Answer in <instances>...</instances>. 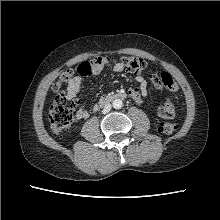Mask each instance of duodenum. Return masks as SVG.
Listing matches in <instances>:
<instances>
[{
  "instance_id": "410a0bca",
  "label": "duodenum",
  "mask_w": 220,
  "mask_h": 220,
  "mask_svg": "<svg viewBox=\"0 0 220 220\" xmlns=\"http://www.w3.org/2000/svg\"><path fill=\"white\" fill-rule=\"evenodd\" d=\"M125 98H126V94L124 92H117L114 94L105 95L100 99L99 104H98V109L100 107H103V106L111 103L114 100L125 99Z\"/></svg>"
}]
</instances>
